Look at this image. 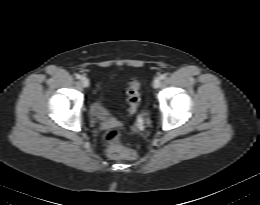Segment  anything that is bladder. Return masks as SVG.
I'll use <instances>...</instances> for the list:
<instances>
[{"instance_id": "1", "label": "bladder", "mask_w": 260, "mask_h": 205, "mask_svg": "<svg viewBox=\"0 0 260 205\" xmlns=\"http://www.w3.org/2000/svg\"><path fill=\"white\" fill-rule=\"evenodd\" d=\"M89 113L92 118L94 119H106L111 116L110 109L103 103V101L100 98L95 99L90 107H89Z\"/></svg>"}]
</instances>
